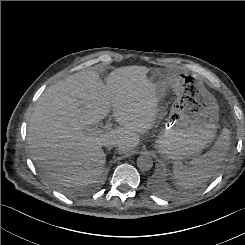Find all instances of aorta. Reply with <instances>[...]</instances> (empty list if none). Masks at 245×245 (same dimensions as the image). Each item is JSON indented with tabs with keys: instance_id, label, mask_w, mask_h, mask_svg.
Returning <instances> with one entry per match:
<instances>
[{
	"instance_id": "762f6f07",
	"label": "aorta",
	"mask_w": 245,
	"mask_h": 245,
	"mask_svg": "<svg viewBox=\"0 0 245 245\" xmlns=\"http://www.w3.org/2000/svg\"><path fill=\"white\" fill-rule=\"evenodd\" d=\"M137 166L142 171H148L153 166V160L148 155H141L137 158Z\"/></svg>"
}]
</instances>
